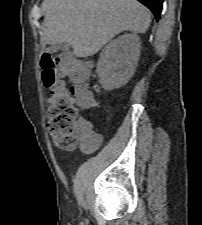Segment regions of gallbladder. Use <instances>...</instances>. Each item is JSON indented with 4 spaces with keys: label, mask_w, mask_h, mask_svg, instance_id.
I'll return each mask as SVG.
<instances>
[{
    "label": "gallbladder",
    "mask_w": 202,
    "mask_h": 225,
    "mask_svg": "<svg viewBox=\"0 0 202 225\" xmlns=\"http://www.w3.org/2000/svg\"><path fill=\"white\" fill-rule=\"evenodd\" d=\"M69 48L70 45L68 43H61L59 45L51 46L49 50L51 53H55L57 51L67 52L69 51Z\"/></svg>",
    "instance_id": "bac80fb5"
}]
</instances>
